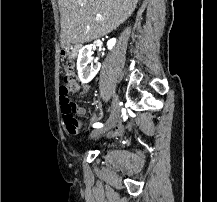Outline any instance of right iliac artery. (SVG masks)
I'll use <instances>...</instances> for the list:
<instances>
[{
	"mask_svg": "<svg viewBox=\"0 0 217 202\" xmlns=\"http://www.w3.org/2000/svg\"><path fill=\"white\" fill-rule=\"evenodd\" d=\"M93 127H94V128H101V127H103V124L97 122V123H94V124H93Z\"/></svg>",
	"mask_w": 217,
	"mask_h": 202,
	"instance_id": "obj_1",
	"label": "right iliac artery"
}]
</instances>
